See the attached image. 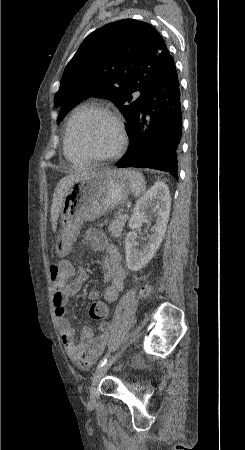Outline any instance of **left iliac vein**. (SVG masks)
<instances>
[{
  "label": "left iliac vein",
  "mask_w": 245,
  "mask_h": 450,
  "mask_svg": "<svg viewBox=\"0 0 245 450\" xmlns=\"http://www.w3.org/2000/svg\"><path fill=\"white\" fill-rule=\"evenodd\" d=\"M124 351V348L118 353H116L114 356H112L101 368L100 370L94 375L92 379V383L90 385L89 391H90V398L93 402L96 397V391L99 384L100 379L106 374L108 369L115 363V361L119 358L121 353Z\"/></svg>",
  "instance_id": "1"
}]
</instances>
